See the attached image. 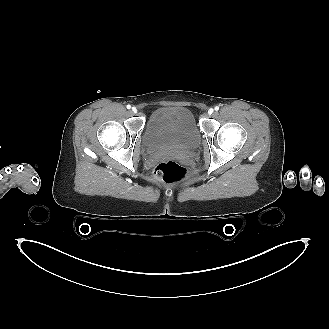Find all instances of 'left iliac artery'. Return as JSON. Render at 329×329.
I'll return each instance as SVG.
<instances>
[{"label":"left iliac artery","mask_w":329,"mask_h":329,"mask_svg":"<svg viewBox=\"0 0 329 329\" xmlns=\"http://www.w3.org/2000/svg\"><path fill=\"white\" fill-rule=\"evenodd\" d=\"M216 111H218L219 110V107L218 106H215V108H214Z\"/></svg>","instance_id":"44dca946"}]
</instances>
